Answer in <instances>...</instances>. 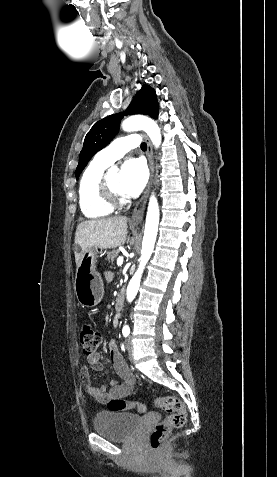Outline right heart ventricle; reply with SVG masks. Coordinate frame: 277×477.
Listing matches in <instances>:
<instances>
[{
    "instance_id": "obj_1",
    "label": "right heart ventricle",
    "mask_w": 277,
    "mask_h": 477,
    "mask_svg": "<svg viewBox=\"0 0 277 477\" xmlns=\"http://www.w3.org/2000/svg\"><path fill=\"white\" fill-rule=\"evenodd\" d=\"M107 165L95 159L84 170L79 182V205L82 213L91 219L108 216L113 208L106 205L98 196L97 186Z\"/></svg>"
}]
</instances>
